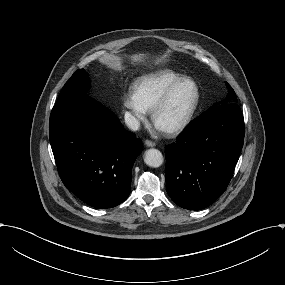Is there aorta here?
<instances>
[{"label":"aorta","instance_id":"1","mask_svg":"<svg viewBox=\"0 0 285 285\" xmlns=\"http://www.w3.org/2000/svg\"><path fill=\"white\" fill-rule=\"evenodd\" d=\"M144 162L150 167L157 168L163 163V155L157 149H148L145 152Z\"/></svg>","mask_w":285,"mask_h":285}]
</instances>
